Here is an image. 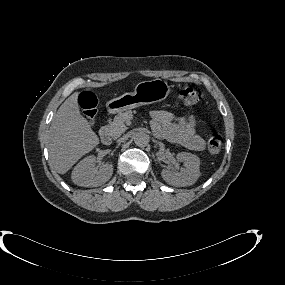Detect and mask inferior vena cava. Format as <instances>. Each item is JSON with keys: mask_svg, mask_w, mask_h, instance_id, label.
<instances>
[{"mask_svg": "<svg viewBox=\"0 0 285 285\" xmlns=\"http://www.w3.org/2000/svg\"><path fill=\"white\" fill-rule=\"evenodd\" d=\"M128 141V136L126 134H121L119 139L117 140L118 143L125 144Z\"/></svg>", "mask_w": 285, "mask_h": 285, "instance_id": "obj_1", "label": "inferior vena cava"}]
</instances>
